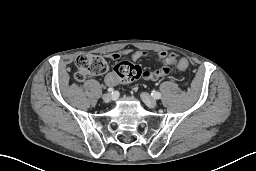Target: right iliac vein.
Segmentation results:
<instances>
[{
    "mask_svg": "<svg viewBox=\"0 0 256 171\" xmlns=\"http://www.w3.org/2000/svg\"><path fill=\"white\" fill-rule=\"evenodd\" d=\"M111 98H112V96H111L110 93H105V94L102 96V99H103V101H104L105 103L110 102V101H111Z\"/></svg>",
    "mask_w": 256,
    "mask_h": 171,
    "instance_id": "right-iliac-vein-1",
    "label": "right iliac vein"
}]
</instances>
